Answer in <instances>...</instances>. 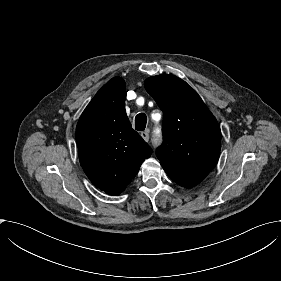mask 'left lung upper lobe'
Wrapping results in <instances>:
<instances>
[{"mask_svg": "<svg viewBox=\"0 0 281 281\" xmlns=\"http://www.w3.org/2000/svg\"><path fill=\"white\" fill-rule=\"evenodd\" d=\"M147 92L163 111L160 164L187 173L208 174L220 155L221 131L198 93L168 74L145 81Z\"/></svg>", "mask_w": 281, "mask_h": 281, "instance_id": "5c2ea615", "label": "left lung upper lobe"}]
</instances>
